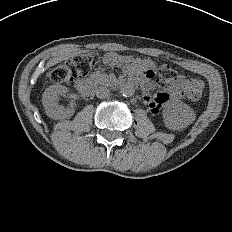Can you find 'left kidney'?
Returning a JSON list of instances; mask_svg holds the SVG:
<instances>
[{
	"instance_id": "left-kidney-1",
	"label": "left kidney",
	"mask_w": 232,
	"mask_h": 232,
	"mask_svg": "<svg viewBox=\"0 0 232 232\" xmlns=\"http://www.w3.org/2000/svg\"><path fill=\"white\" fill-rule=\"evenodd\" d=\"M196 118L193 109L180 100H175L163 109L165 126L171 130H183L190 126Z\"/></svg>"
}]
</instances>
